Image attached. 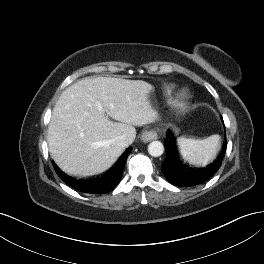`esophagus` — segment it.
I'll use <instances>...</instances> for the list:
<instances>
[{"label": "esophagus", "mask_w": 264, "mask_h": 264, "mask_svg": "<svg viewBox=\"0 0 264 264\" xmlns=\"http://www.w3.org/2000/svg\"><path fill=\"white\" fill-rule=\"evenodd\" d=\"M158 138V134L155 130L144 131L140 137L142 142H150Z\"/></svg>", "instance_id": "1"}]
</instances>
